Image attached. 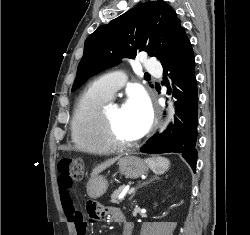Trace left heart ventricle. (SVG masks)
Wrapping results in <instances>:
<instances>
[{"mask_svg": "<svg viewBox=\"0 0 250 235\" xmlns=\"http://www.w3.org/2000/svg\"><path fill=\"white\" fill-rule=\"evenodd\" d=\"M109 113L113 117L116 132L121 140L132 142L140 138L132 117L124 107H112Z\"/></svg>", "mask_w": 250, "mask_h": 235, "instance_id": "left-heart-ventricle-1", "label": "left heart ventricle"}]
</instances>
